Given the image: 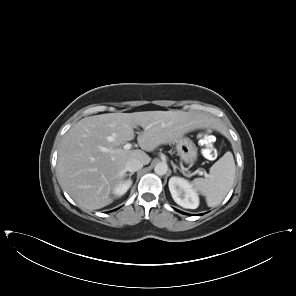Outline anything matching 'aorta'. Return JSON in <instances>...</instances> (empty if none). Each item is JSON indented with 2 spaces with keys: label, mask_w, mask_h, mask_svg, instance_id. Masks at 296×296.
<instances>
[{
  "label": "aorta",
  "mask_w": 296,
  "mask_h": 296,
  "mask_svg": "<svg viewBox=\"0 0 296 296\" xmlns=\"http://www.w3.org/2000/svg\"><path fill=\"white\" fill-rule=\"evenodd\" d=\"M167 170L168 166L164 162L157 163L154 168V172L159 176L165 175L167 173Z\"/></svg>",
  "instance_id": "aorta-1"
}]
</instances>
